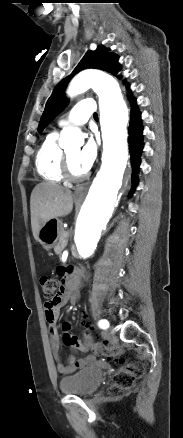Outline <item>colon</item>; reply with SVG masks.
Here are the masks:
<instances>
[{"mask_svg":"<svg viewBox=\"0 0 183 438\" xmlns=\"http://www.w3.org/2000/svg\"><path fill=\"white\" fill-rule=\"evenodd\" d=\"M43 295L46 299H53L59 287V281L50 276L42 277L40 280ZM88 316L82 314L83 337L87 345H91L97 355L112 358L122 364L113 377L111 392L114 395H122L130 391L136 385V382L144 375L145 367L141 362H125L120 349L104 342H93L88 331Z\"/></svg>","mask_w":183,"mask_h":438,"instance_id":"colon-1","label":"colon"}]
</instances>
